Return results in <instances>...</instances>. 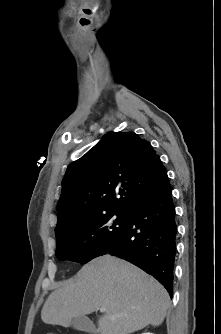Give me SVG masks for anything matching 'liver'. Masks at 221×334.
<instances>
[{
    "instance_id": "6515ba94",
    "label": "liver",
    "mask_w": 221,
    "mask_h": 334,
    "mask_svg": "<svg viewBox=\"0 0 221 334\" xmlns=\"http://www.w3.org/2000/svg\"><path fill=\"white\" fill-rule=\"evenodd\" d=\"M170 299L165 288L135 265L109 254L84 265L45 301L41 319L68 327L74 317L105 308L100 334H131L165 319Z\"/></svg>"
}]
</instances>
